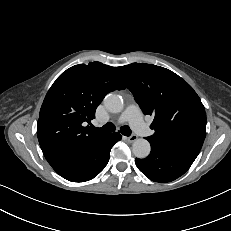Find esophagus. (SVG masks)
<instances>
[{
    "label": "esophagus",
    "mask_w": 231,
    "mask_h": 231,
    "mask_svg": "<svg viewBox=\"0 0 231 231\" xmlns=\"http://www.w3.org/2000/svg\"><path fill=\"white\" fill-rule=\"evenodd\" d=\"M137 138H138V137H137L135 134H133V135H131V136H129V137H126V140H127L128 142L132 143V142L136 141Z\"/></svg>",
    "instance_id": "1"
}]
</instances>
